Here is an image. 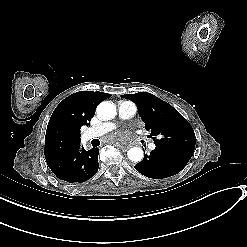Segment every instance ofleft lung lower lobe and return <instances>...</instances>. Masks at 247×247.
<instances>
[{
  "label": "left lung lower lobe",
  "instance_id": "left-lung-lower-lobe-1",
  "mask_svg": "<svg viewBox=\"0 0 247 247\" xmlns=\"http://www.w3.org/2000/svg\"><path fill=\"white\" fill-rule=\"evenodd\" d=\"M190 158L191 156L177 150L156 147L150 155H144L135 169L146 177L162 179L179 173Z\"/></svg>",
  "mask_w": 247,
  "mask_h": 247
}]
</instances>
